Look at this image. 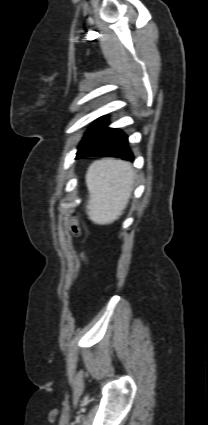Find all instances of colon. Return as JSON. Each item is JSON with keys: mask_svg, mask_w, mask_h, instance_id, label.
<instances>
[{"mask_svg": "<svg viewBox=\"0 0 208 425\" xmlns=\"http://www.w3.org/2000/svg\"><path fill=\"white\" fill-rule=\"evenodd\" d=\"M69 231L72 235L74 236H78L81 233V228L79 226V223L76 219L72 218L70 220V226H69ZM82 258H84V255H82Z\"/></svg>", "mask_w": 208, "mask_h": 425, "instance_id": "colon-1", "label": "colon"}]
</instances>
